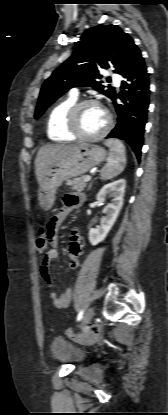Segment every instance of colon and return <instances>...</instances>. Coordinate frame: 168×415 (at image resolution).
<instances>
[{
    "label": "colon",
    "mask_w": 168,
    "mask_h": 415,
    "mask_svg": "<svg viewBox=\"0 0 168 415\" xmlns=\"http://www.w3.org/2000/svg\"><path fill=\"white\" fill-rule=\"evenodd\" d=\"M47 243H48V238L46 234V229H45V226H43L40 228L39 235L36 238V248L39 251V257H38L39 263L45 262L43 250L46 248ZM101 332H102V328L98 324L92 325L90 327H86L80 332H73L69 329L65 330V333L68 336H71L80 341H92L93 339L98 337L101 334Z\"/></svg>",
    "instance_id": "1"
}]
</instances>
